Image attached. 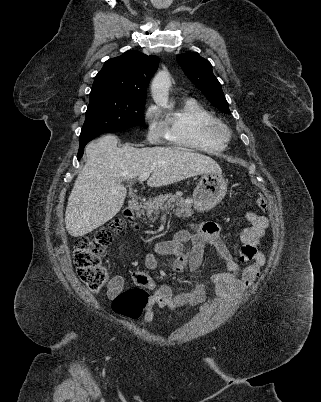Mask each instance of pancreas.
Here are the masks:
<instances>
[{"label": "pancreas", "instance_id": "1", "mask_svg": "<svg viewBox=\"0 0 321 402\" xmlns=\"http://www.w3.org/2000/svg\"><path fill=\"white\" fill-rule=\"evenodd\" d=\"M192 199H183L173 194L160 195L150 198L143 206L140 214L146 215L150 220H155L160 210H171L177 217L189 218L193 211Z\"/></svg>", "mask_w": 321, "mask_h": 402}]
</instances>
